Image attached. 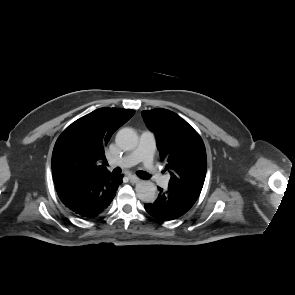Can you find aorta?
<instances>
[{
  "mask_svg": "<svg viewBox=\"0 0 295 295\" xmlns=\"http://www.w3.org/2000/svg\"><path fill=\"white\" fill-rule=\"evenodd\" d=\"M115 142L123 150H133L138 145V136L132 128H123L116 134ZM135 191L137 197L145 203H153L157 198V188L148 180L139 182Z\"/></svg>",
  "mask_w": 295,
  "mask_h": 295,
  "instance_id": "obj_1",
  "label": "aorta"
}]
</instances>
